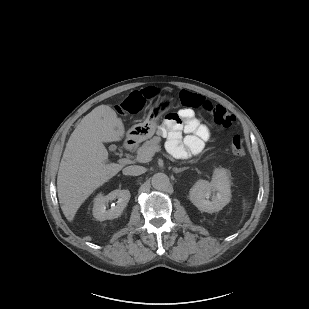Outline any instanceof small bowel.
Instances as JSON below:
<instances>
[{
	"instance_id": "c3829d8e",
	"label": "small bowel",
	"mask_w": 309,
	"mask_h": 309,
	"mask_svg": "<svg viewBox=\"0 0 309 309\" xmlns=\"http://www.w3.org/2000/svg\"><path fill=\"white\" fill-rule=\"evenodd\" d=\"M142 94L145 95V93ZM164 127L168 134L167 146L174 155L179 157L199 154L210 137L209 128L195 116L191 109L187 108L169 114ZM183 132L186 134L184 138Z\"/></svg>"
}]
</instances>
